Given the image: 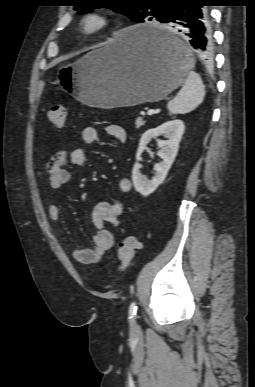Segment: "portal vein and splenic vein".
<instances>
[{
    "instance_id": "18ae733b",
    "label": "portal vein and splenic vein",
    "mask_w": 255,
    "mask_h": 387,
    "mask_svg": "<svg viewBox=\"0 0 255 387\" xmlns=\"http://www.w3.org/2000/svg\"><path fill=\"white\" fill-rule=\"evenodd\" d=\"M154 113H155L154 109H149L147 112L148 115H153Z\"/></svg>"
}]
</instances>
